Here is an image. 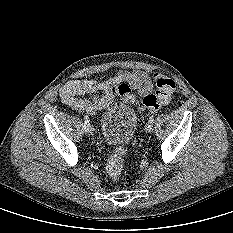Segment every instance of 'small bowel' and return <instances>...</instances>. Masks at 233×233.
I'll list each match as a JSON object with an SVG mask.
<instances>
[{
	"mask_svg": "<svg viewBox=\"0 0 233 233\" xmlns=\"http://www.w3.org/2000/svg\"><path fill=\"white\" fill-rule=\"evenodd\" d=\"M136 90L141 96L153 90L151 77L142 71H119L115 78L100 82L95 79L74 80L64 85L60 97L72 109L93 113L117 95L127 96ZM91 95L90 99L82 98Z\"/></svg>",
	"mask_w": 233,
	"mask_h": 233,
	"instance_id": "small-bowel-1",
	"label": "small bowel"
}]
</instances>
